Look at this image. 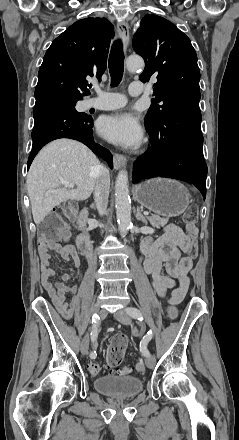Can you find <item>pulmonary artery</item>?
Masks as SVG:
<instances>
[{"label":"pulmonary artery","mask_w":239,"mask_h":440,"mask_svg":"<svg viewBox=\"0 0 239 440\" xmlns=\"http://www.w3.org/2000/svg\"><path fill=\"white\" fill-rule=\"evenodd\" d=\"M93 91L98 96H112L115 97L116 100L107 103H100L92 99H88L85 101L86 109L95 108L98 110H112V109L120 108L126 104V98L121 93H112V92L103 91L97 85L93 86ZM142 91H143V84L140 82H133L128 87V92L132 96H137L141 94Z\"/></svg>","instance_id":"obj_1"}]
</instances>
